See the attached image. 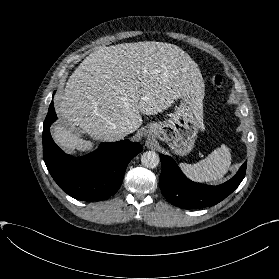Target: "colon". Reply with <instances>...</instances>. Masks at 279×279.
<instances>
[{
    "label": "colon",
    "instance_id": "obj_1",
    "mask_svg": "<svg viewBox=\"0 0 279 279\" xmlns=\"http://www.w3.org/2000/svg\"><path fill=\"white\" fill-rule=\"evenodd\" d=\"M211 84L216 92H220L223 84V76L220 73H215L211 78Z\"/></svg>",
    "mask_w": 279,
    "mask_h": 279
}]
</instances>
